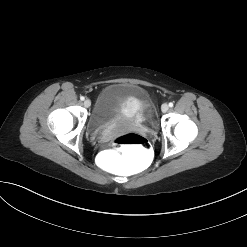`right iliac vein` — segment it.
I'll use <instances>...</instances> for the list:
<instances>
[{"label": "right iliac vein", "instance_id": "63e3f726", "mask_svg": "<svg viewBox=\"0 0 247 247\" xmlns=\"http://www.w3.org/2000/svg\"><path fill=\"white\" fill-rule=\"evenodd\" d=\"M84 106L87 107V108L91 106V101H90V99L84 100Z\"/></svg>", "mask_w": 247, "mask_h": 247}]
</instances>
